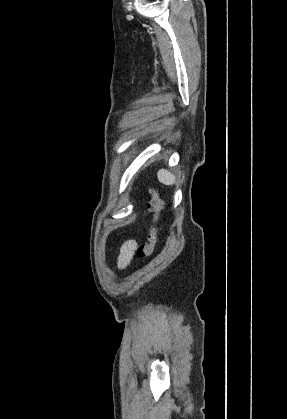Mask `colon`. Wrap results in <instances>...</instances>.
Segmentation results:
<instances>
[{"label": "colon", "mask_w": 287, "mask_h": 419, "mask_svg": "<svg viewBox=\"0 0 287 419\" xmlns=\"http://www.w3.org/2000/svg\"><path fill=\"white\" fill-rule=\"evenodd\" d=\"M150 193L151 199L148 202V209L152 214L153 229L148 235L147 240L140 244V246L137 249V256L140 259H146L150 257L154 253L158 242L155 227L158 225L159 222V214L163 208V201L161 200V198L155 190H151Z\"/></svg>", "instance_id": "obj_1"}]
</instances>
